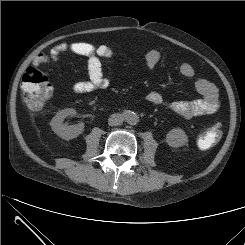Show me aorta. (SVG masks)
<instances>
[{"label":"aorta","instance_id":"1","mask_svg":"<svg viewBox=\"0 0 245 245\" xmlns=\"http://www.w3.org/2000/svg\"><path fill=\"white\" fill-rule=\"evenodd\" d=\"M125 120L130 125H136L139 122V116L134 112H128L125 115Z\"/></svg>","mask_w":245,"mask_h":245}]
</instances>
